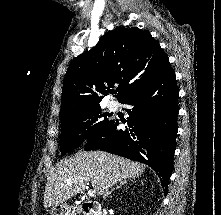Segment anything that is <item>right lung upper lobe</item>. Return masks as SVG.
Returning a JSON list of instances; mask_svg holds the SVG:
<instances>
[{
	"instance_id": "right-lung-upper-lobe-1",
	"label": "right lung upper lobe",
	"mask_w": 221,
	"mask_h": 215,
	"mask_svg": "<svg viewBox=\"0 0 221 215\" xmlns=\"http://www.w3.org/2000/svg\"><path fill=\"white\" fill-rule=\"evenodd\" d=\"M171 68L168 56L147 31L116 28L76 57L64 78L59 118L100 107L103 95L118 86L122 102L163 77Z\"/></svg>"
}]
</instances>
